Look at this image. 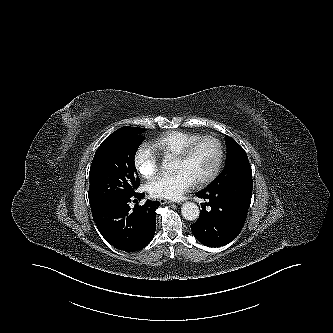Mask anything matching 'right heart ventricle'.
Listing matches in <instances>:
<instances>
[{"instance_id":"e07e8e85","label":"right heart ventricle","mask_w":333,"mask_h":333,"mask_svg":"<svg viewBox=\"0 0 333 333\" xmlns=\"http://www.w3.org/2000/svg\"><path fill=\"white\" fill-rule=\"evenodd\" d=\"M200 136V134L192 132L169 131L155 139L150 148L160 157L175 158L188 143Z\"/></svg>"}]
</instances>
